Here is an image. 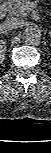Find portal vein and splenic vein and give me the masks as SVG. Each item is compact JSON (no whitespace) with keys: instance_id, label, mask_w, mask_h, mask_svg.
I'll list each match as a JSON object with an SVG mask.
<instances>
[{"instance_id":"1","label":"portal vein and splenic vein","mask_w":51,"mask_h":153,"mask_svg":"<svg viewBox=\"0 0 51 153\" xmlns=\"http://www.w3.org/2000/svg\"><path fill=\"white\" fill-rule=\"evenodd\" d=\"M33 8H34V7H33V5H32V4H30V6H29V8H28V9H29V11H31V10H33Z\"/></svg>"}]
</instances>
